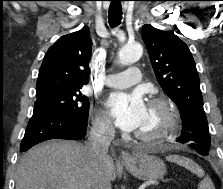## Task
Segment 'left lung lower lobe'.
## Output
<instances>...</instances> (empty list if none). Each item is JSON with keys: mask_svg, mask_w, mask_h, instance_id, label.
<instances>
[{"mask_svg": "<svg viewBox=\"0 0 223 189\" xmlns=\"http://www.w3.org/2000/svg\"><path fill=\"white\" fill-rule=\"evenodd\" d=\"M196 151L200 154V155H203V156H207L209 153H205V152H202V151H200V150H197L196 149Z\"/></svg>", "mask_w": 223, "mask_h": 189, "instance_id": "1", "label": "left lung lower lobe"}]
</instances>
